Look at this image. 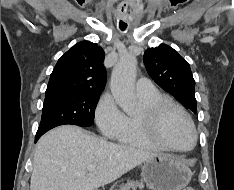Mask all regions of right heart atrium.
Returning a JSON list of instances; mask_svg holds the SVG:
<instances>
[{
  "mask_svg": "<svg viewBox=\"0 0 234 190\" xmlns=\"http://www.w3.org/2000/svg\"><path fill=\"white\" fill-rule=\"evenodd\" d=\"M94 117L99 130L109 138H116L124 124L125 115L110 93H104L96 107Z\"/></svg>",
  "mask_w": 234,
  "mask_h": 190,
  "instance_id": "obj_1",
  "label": "right heart atrium"
}]
</instances>
